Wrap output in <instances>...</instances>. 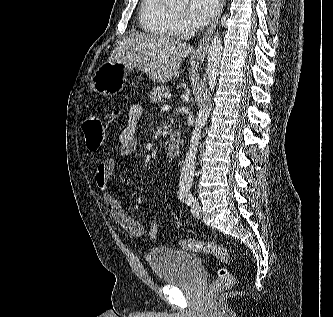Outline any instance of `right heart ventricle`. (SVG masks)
Returning <instances> with one entry per match:
<instances>
[{
    "label": "right heart ventricle",
    "mask_w": 333,
    "mask_h": 317,
    "mask_svg": "<svg viewBox=\"0 0 333 317\" xmlns=\"http://www.w3.org/2000/svg\"><path fill=\"white\" fill-rule=\"evenodd\" d=\"M139 23L142 29L161 38L178 36L177 19L164 0H141Z\"/></svg>",
    "instance_id": "1"
}]
</instances>
